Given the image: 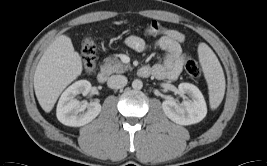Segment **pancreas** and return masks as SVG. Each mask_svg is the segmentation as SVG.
Masks as SVG:
<instances>
[{
	"label": "pancreas",
	"mask_w": 267,
	"mask_h": 166,
	"mask_svg": "<svg viewBox=\"0 0 267 166\" xmlns=\"http://www.w3.org/2000/svg\"><path fill=\"white\" fill-rule=\"evenodd\" d=\"M101 69L110 75L113 73H124L132 68L130 65L123 64L117 57H107Z\"/></svg>",
	"instance_id": "1"
}]
</instances>
